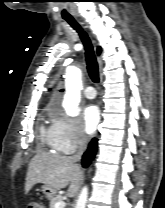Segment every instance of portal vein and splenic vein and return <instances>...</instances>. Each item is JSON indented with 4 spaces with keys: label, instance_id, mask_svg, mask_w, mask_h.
Masks as SVG:
<instances>
[{
    "label": "portal vein and splenic vein",
    "instance_id": "18ae733b",
    "mask_svg": "<svg viewBox=\"0 0 165 208\" xmlns=\"http://www.w3.org/2000/svg\"><path fill=\"white\" fill-rule=\"evenodd\" d=\"M66 206V203L61 201V202H57L55 204V208H64Z\"/></svg>",
    "mask_w": 165,
    "mask_h": 208
}]
</instances>
